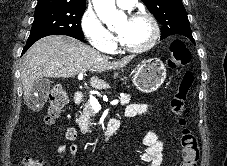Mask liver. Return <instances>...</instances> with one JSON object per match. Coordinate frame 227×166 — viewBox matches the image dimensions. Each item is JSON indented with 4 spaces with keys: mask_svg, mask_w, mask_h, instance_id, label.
<instances>
[{
    "mask_svg": "<svg viewBox=\"0 0 227 166\" xmlns=\"http://www.w3.org/2000/svg\"><path fill=\"white\" fill-rule=\"evenodd\" d=\"M131 59L126 57L111 62L109 57L72 37H44L30 47L21 67L24 100L30 97L34 83L40 78H69L89 70L101 73L124 67ZM90 84L95 89H102L105 85L97 76L91 78Z\"/></svg>",
    "mask_w": 227,
    "mask_h": 166,
    "instance_id": "6515ba94",
    "label": "liver"
}]
</instances>
